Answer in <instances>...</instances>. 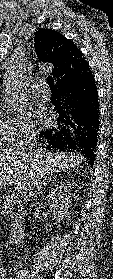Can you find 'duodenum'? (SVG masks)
<instances>
[{
    "label": "duodenum",
    "instance_id": "1",
    "mask_svg": "<svg viewBox=\"0 0 113 279\" xmlns=\"http://www.w3.org/2000/svg\"><path fill=\"white\" fill-rule=\"evenodd\" d=\"M24 226L21 224L15 225L11 230V239L14 243H19L24 236Z\"/></svg>",
    "mask_w": 113,
    "mask_h": 279
}]
</instances>
